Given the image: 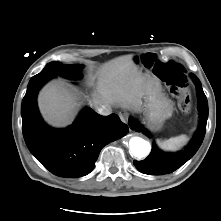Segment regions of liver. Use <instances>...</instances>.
<instances>
[{
    "label": "liver",
    "instance_id": "obj_1",
    "mask_svg": "<svg viewBox=\"0 0 221 221\" xmlns=\"http://www.w3.org/2000/svg\"><path fill=\"white\" fill-rule=\"evenodd\" d=\"M152 81L141 75L131 55L116 58L100 69L97 93L90 103L95 108L116 103L122 108L139 111ZM38 105L48 123L63 127L72 122L79 103L74 93L54 82L40 92Z\"/></svg>",
    "mask_w": 221,
    "mask_h": 221
}]
</instances>
